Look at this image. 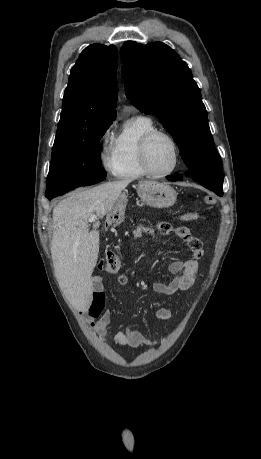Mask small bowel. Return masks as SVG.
<instances>
[{
    "mask_svg": "<svg viewBox=\"0 0 261 459\" xmlns=\"http://www.w3.org/2000/svg\"><path fill=\"white\" fill-rule=\"evenodd\" d=\"M140 231L152 234V230L148 227H139ZM168 235H175L182 239L192 250L193 257L187 260H175L169 265V272L174 276L173 279L168 283L156 282L154 283V291L158 295H174L178 292L189 290L196 279L198 272V259L203 254L202 242L199 238L192 235L190 231L185 227L170 228V231L166 233ZM119 285H126L129 282L127 275H120L117 279ZM95 293L103 294V282L100 278L94 280ZM155 315L161 320H170L172 318V312L165 307H158L155 311ZM111 321V313L109 311L103 312L97 320H90L89 325L95 331L98 337L102 338L106 335L108 326ZM114 341L117 345L123 346L130 344L136 348L150 347L156 343L146 339L139 331L134 330L130 326L125 327L123 330L118 331L114 336Z\"/></svg>",
    "mask_w": 261,
    "mask_h": 459,
    "instance_id": "1",
    "label": "small bowel"
}]
</instances>
